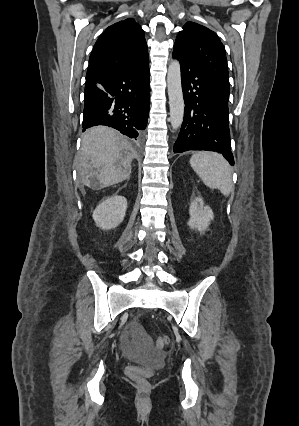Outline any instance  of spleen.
I'll use <instances>...</instances> for the list:
<instances>
[{
	"instance_id": "1",
	"label": "spleen",
	"mask_w": 299,
	"mask_h": 426,
	"mask_svg": "<svg viewBox=\"0 0 299 426\" xmlns=\"http://www.w3.org/2000/svg\"><path fill=\"white\" fill-rule=\"evenodd\" d=\"M190 165L206 186L219 189L224 196L230 194L231 168L221 155L213 152H198L192 155Z\"/></svg>"
}]
</instances>
